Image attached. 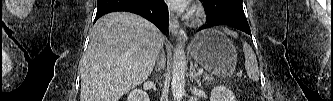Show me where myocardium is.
<instances>
[{
    "label": "myocardium",
    "instance_id": "obj_1",
    "mask_svg": "<svg viewBox=\"0 0 333 101\" xmlns=\"http://www.w3.org/2000/svg\"><path fill=\"white\" fill-rule=\"evenodd\" d=\"M203 18V14L201 11H197L195 14V20L199 21Z\"/></svg>",
    "mask_w": 333,
    "mask_h": 101
}]
</instances>
